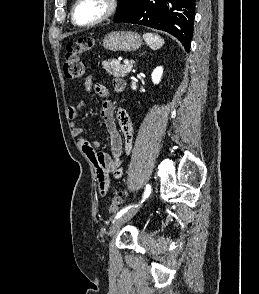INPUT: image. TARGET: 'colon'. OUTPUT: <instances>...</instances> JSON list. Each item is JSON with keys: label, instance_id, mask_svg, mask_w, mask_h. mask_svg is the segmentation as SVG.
<instances>
[{"label": "colon", "instance_id": "5ec220e1", "mask_svg": "<svg viewBox=\"0 0 259 294\" xmlns=\"http://www.w3.org/2000/svg\"><path fill=\"white\" fill-rule=\"evenodd\" d=\"M94 41L89 37H81L67 44L64 56L63 71L68 79H80L83 77L85 67L81 55L91 51ZM123 204V196L120 191H115L108 207V213L114 215Z\"/></svg>", "mask_w": 259, "mask_h": 294}]
</instances>
